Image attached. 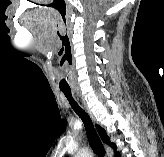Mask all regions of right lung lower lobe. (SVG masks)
Here are the masks:
<instances>
[{"label": "right lung lower lobe", "mask_w": 164, "mask_h": 157, "mask_svg": "<svg viewBox=\"0 0 164 157\" xmlns=\"http://www.w3.org/2000/svg\"><path fill=\"white\" fill-rule=\"evenodd\" d=\"M115 150H116V148H115ZM115 157H121V156H120V153L117 152Z\"/></svg>", "instance_id": "1"}]
</instances>
